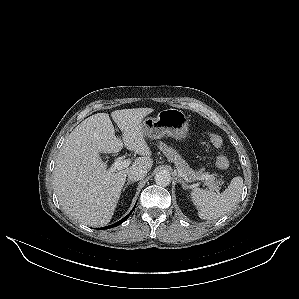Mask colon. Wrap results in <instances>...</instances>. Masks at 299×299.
I'll return each instance as SVG.
<instances>
[{
    "mask_svg": "<svg viewBox=\"0 0 299 299\" xmlns=\"http://www.w3.org/2000/svg\"><path fill=\"white\" fill-rule=\"evenodd\" d=\"M209 140L216 149L223 148V139L214 133L209 134ZM229 165V159L226 154L220 153L216 159V166L219 169H226Z\"/></svg>",
    "mask_w": 299,
    "mask_h": 299,
    "instance_id": "1",
    "label": "colon"
}]
</instances>
